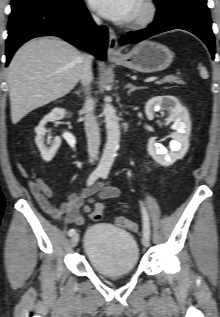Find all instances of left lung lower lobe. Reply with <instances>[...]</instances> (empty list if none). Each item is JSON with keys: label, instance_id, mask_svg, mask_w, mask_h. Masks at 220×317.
<instances>
[{"label": "left lung lower lobe", "instance_id": "0a47b994", "mask_svg": "<svg viewBox=\"0 0 220 317\" xmlns=\"http://www.w3.org/2000/svg\"><path fill=\"white\" fill-rule=\"evenodd\" d=\"M158 11L153 23L147 28L130 32L121 43H134L155 34L184 29L198 36L215 55V41L207 0H164L156 2Z\"/></svg>", "mask_w": 220, "mask_h": 317}]
</instances>
